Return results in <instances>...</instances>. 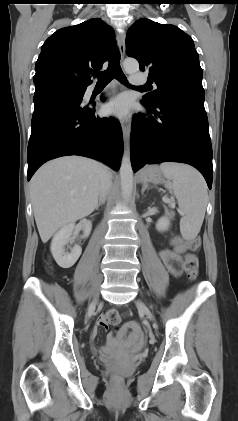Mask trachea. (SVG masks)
I'll use <instances>...</instances> for the list:
<instances>
[{"label": "trachea", "mask_w": 238, "mask_h": 421, "mask_svg": "<svg viewBox=\"0 0 238 421\" xmlns=\"http://www.w3.org/2000/svg\"><path fill=\"white\" fill-rule=\"evenodd\" d=\"M93 75L98 79L97 83L99 84H108L112 79L115 78L121 83L128 85L126 76L120 67V54L118 49L113 51L107 70L103 72H94ZM141 87L144 88V86Z\"/></svg>", "instance_id": "obj_1"}]
</instances>
